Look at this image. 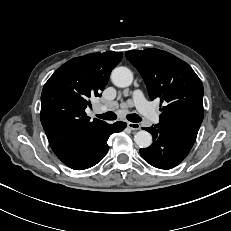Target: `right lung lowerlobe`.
<instances>
[{
    "mask_svg": "<svg viewBox=\"0 0 231 231\" xmlns=\"http://www.w3.org/2000/svg\"><path fill=\"white\" fill-rule=\"evenodd\" d=\"M124 122L109 124L106 129L86 141L74 158L66 165L75 170H84L96 165L107 153V140L113 133L120 132L126 127Z\"/></svg>",
    "mask_w": 231,
    "mask_h": 231,
    "instance_id": "98d812e1",
    "label": "right lung lower lobe"
}]
</instances>
